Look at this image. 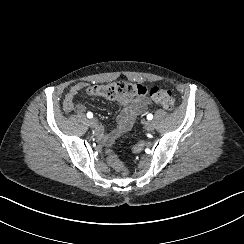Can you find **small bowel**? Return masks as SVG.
I'll return each instance as SVG.
<instances>
[{
    "instance_id": "c3829d8e",
    "label": "small bowel",
    "mask_w": 244,
    "mask_h": 244,
    "mask_svg": "<svg viewBox=\"0 0 244 244\" xmlns=\"http://www.w3.org/2000/svg\"><path fill=\"white\" fill-rule=\"evenodd\" d=\"M86 86L85 82H78L70 87L63 100L65 111H75L77 114H83L86 111V106L83 103L75 101L76 96L85 90ZM116 101L122 107V110L117 118L118 127L105 137L109 142L127 132L132 127L136 117L146 111L150 104L149 99L145 97H119ZM99 130H102L101 127Z\"/></svg>"
}]
</instances>
